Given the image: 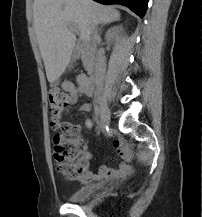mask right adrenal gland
I'll list each match as a JSON object with an SVG mask.
<instances>
[{"instance_id":"2a0ac1e0","label":"right adrenal gland","mask_w":202,"mask_h":217,"mask_svg":"<svg viewBox=\"0 0 202 217\" xmlns=\"http://www.w3.org/2000/svg\"><path fill=\"white\" fill-rule=\"evenodd\" d=\"M106 25H107V23L102 24L101 27H100V30H101L104 26H106Z\"/></svg>"}]
</instances>
